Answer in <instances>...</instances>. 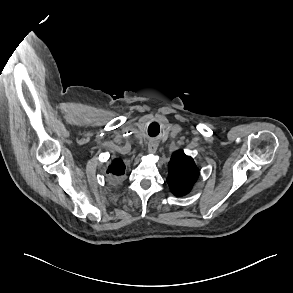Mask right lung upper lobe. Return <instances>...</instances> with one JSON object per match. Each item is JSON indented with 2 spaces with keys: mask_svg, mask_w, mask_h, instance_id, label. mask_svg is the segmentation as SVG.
<instances>
[{
  "mask_svg": "<svg viewBox=\"0 0 293 293\" xmlns=\"http://www.w3.org/2000/svg\"><path fill=\"white\" fill-rule=\"evenodd\" d=\"M125 172V165L122 160L114 159L112 164L108 167L107 173H111L114 176H121Z\"/></svg>",
  "mask_w": 293,
  "mask_h": 293,
  "instance_id": "obj_1",
  "label": "right lung upper lobe"
}]
</instances>
